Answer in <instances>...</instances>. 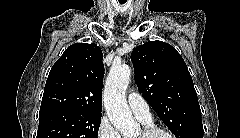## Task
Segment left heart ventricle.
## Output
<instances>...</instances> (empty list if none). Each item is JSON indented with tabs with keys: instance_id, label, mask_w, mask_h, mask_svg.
Instances as JSON below:
<instances>
[{
	"instance_id": "1",
	"label": "left heart ventricle",
	"mask_w": 240,
	"mask_h": 138,
	"mask_svg": "<svg viewBox=\"0 0 240 138\" xmlns=\"http://www.w3.org/2000/svg\"><path fill=\"white\" fill-rule=\"evenodd\" d=\"M135 138H142V133H141V131H139V132L137 133V135H136ZM153 138H164V136L161 135V134H157V135L153 136Z\"/></svg>"
}]
</instances>
